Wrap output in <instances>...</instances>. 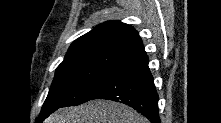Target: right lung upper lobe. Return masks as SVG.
<instances>
[{
    "instance_id": "cb5924a9",
    "label": "right lung upper lobe",
    "mask_w": 221,
    "mask_h": 123,
    "mask_svg": "<svg viewBox=\"0 0 221 123\" xmlns=\"http://www.w3.org/2000/svg\"><path fill=\"white\" fill-rule=\"evenodd\" d=\"M89 49L109 50L130 58L145 52L138 32L120 21L98 25L76 39L66 55Z\"/></svg>"
}]
</instances>
